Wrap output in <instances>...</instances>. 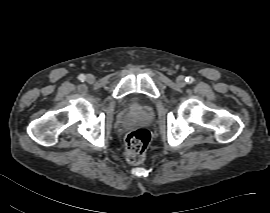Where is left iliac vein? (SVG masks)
I'll return each mask as SVG.
<instances>
[{"label": "left iliac vein", "mask_w": 270, "mask_h": 213, "mask_svg": "<svg viewBox=\"0 0 270 213\" xmlns=\"http://www.w3.org/2000/svg\"><path fill=\"white\" fill-rule=\"evenodd\" d=\"M177 83H178V85L183 86V85L185 84V79H184V77H183V76H179V77L177 78Z\"/></svg>", "instance_id": "obj_1"}]
</instances>
